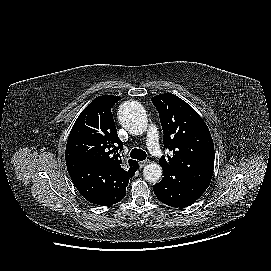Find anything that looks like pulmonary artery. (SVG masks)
Listing matches in <instances>:
<instances>
[{
    "label": "pulmonary artery",
    "mask_w": 271,
    "mask_h": 271,
    "mask_svg": "<svg viewBox=\"0 0 271 271\" xmlns=\"http://www.w3.org/2000/svg\"><path fill=\"white\" fill-rule=\"evenodd\" d=\"M147 144L149 146L150 152L154 157H161L163 151L159 145V134L155 125L151 124L147 131Z\"/></svg>",
    "instance_id": "e3ab8cb5"
}]
</instances>
